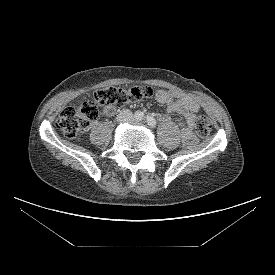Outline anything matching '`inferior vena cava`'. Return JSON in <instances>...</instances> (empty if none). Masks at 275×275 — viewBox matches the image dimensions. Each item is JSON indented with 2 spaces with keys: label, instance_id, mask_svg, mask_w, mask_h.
Listing matches in <instances>:
<instances>
[{
  "label": "inferior vena cava",
  "instance_id": "obj_1",
  "mask_svg": "<svg viewBox=\"0 0 275 275\" xmlns=\"http://www.w3.org/2000/svg\"><path fill=\"white\" fill-rule=\"evenodd\" d=\"M133 118L132 112L130 110H124L120 112L117 119L119 122H129Z\"/></svg>",
  "mask_w": 275,
  "mask_h": 275
}]
</instances>
